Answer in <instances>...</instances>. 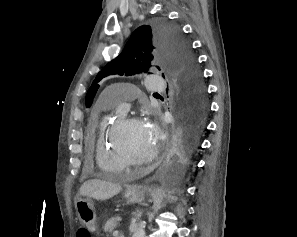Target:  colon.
<instances>
[{"mask_svg": "<svg viewBox=\"0 0 297 237\" xmlns=\"http://www.w3.org/2000/svg\"><path fill=\"white\" fill-rule=\"evenodd\" d=\"M76 237H91V236L87 229L80 228V229H78V231L76 233Z\"/></svg>", "mask_w": 297, "mask_h": 237, "instance_id": "5ec220e1", "label": "colon"}]
</instances>
